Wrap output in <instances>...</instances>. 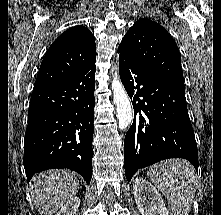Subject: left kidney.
<instances>
[{"label":"left kidney","mask_w":221,"mask_h":215,"mask_svg":"<svg viewBox=\"0 0 221 215\" xmlns=\"http://www.w3.org/2000/svg\"><path fill=\"white\" fill-rule=\"evenodd\" d=\"M133 194L142 215H170L158 190L146 179L137 177Z\"/></svg>","instance_id":"left-kidney-1"}]
</instances>
